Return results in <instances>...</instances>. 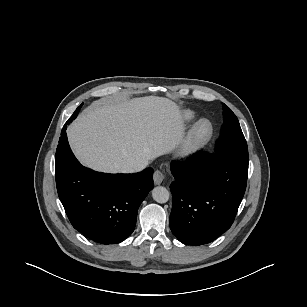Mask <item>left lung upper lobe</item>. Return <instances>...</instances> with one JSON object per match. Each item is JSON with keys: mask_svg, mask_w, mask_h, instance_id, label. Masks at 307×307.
Wrapping results in <instances>:
<instances>
[{"mask_svg": "<svg viewBox=\"0 0 307 307\" xmlns=\"http://www.w3.org/2000/svg\"><path fill=\"white\" fill-rule=\"evenodd\" d=\"M224 123L214 155H231L248 162V147L239 121L232 110L223 104Z\"/></svg>", "mask_w": 307, "mask_h": 307, "instance_id": "obj_1", "label": "left lung upper lobe"}]
</instances>
